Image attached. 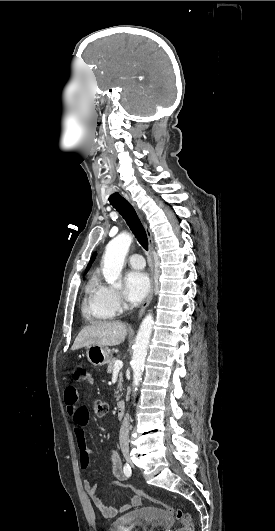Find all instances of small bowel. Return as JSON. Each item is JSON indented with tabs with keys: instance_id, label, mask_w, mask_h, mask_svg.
I'll return each instance as SVG.
<instances>
[{
	"instance_id": "small-bowel-1",
	"label": "small bowel",
	"mask_w": 275,
	"mask_h": 531,
	"mask_svg": "<svg viewBox=\"0 0 275 531\" xmlns=\"http://www.w3.org/2000/svg\"><path fill=\"white\" fill-rule=\"evenodd\" d=\"M74 374L78 377H82L86 383L91 384L94 382L95 377L93 374L88 373L84 368H78L74 371ZM85 376V377H84ZM64 399L67 408V412L74 423V435L80 449L79 463L82 469H87L91 464L92 450L87 446L85 427L89 422V412L87 408L78 406V396L74 388H67L64 392ZM109 460L112 466V473L116 480L128 479L126 471L124 469L121 457L117 451H112L109 456ZM85 490L89 493L93 505L100 511L101 515L110 519L119 514L130 511L133 508H138L142 505L140 496L134 495L128 503H125L119 507H113L106 505L103 500L97 495L96 487L93 482L85 479L83 482Z\"/></svg>"
}]
</instances>
